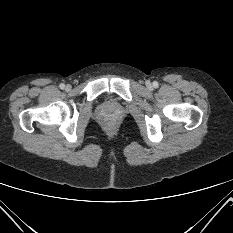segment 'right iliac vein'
<instances>
[{
	"label": "right iliac vein",
	"mask_w": 233,
	"mask_h": 233,
	"mask_svg": "<svg viewBox=\"0 0 233 233\" xmlns=\"http://www.w3.org/2000/svg\"><path fill=\"white\" fill-rule=\"evenodd\" d=\"M65 89H66V91L71 90V85H69V84H68V85L66 86V88H65Z\"/></svg>",
	"instance_id": "obj_1"
}]
</instances>
